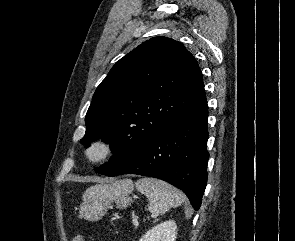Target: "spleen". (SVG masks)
<instances>
[{
    "label": "spleen",
    "instance_id": "1",
    "mask_svg": "<svg viewBox=\"0 0 295 241\" xmlns=\"http://www.w3.org/2000/svg\"><path fill=\"white\" fill-rule=\"evenodd\" d=\"M139 192L146 195L149 201L148 211L158 216L172 207L180 206L185 196L170 184L155 178H141L136 182Z\"/></svg>",
    "mask_w": 295,
    "mask_h": 241
}]
</instances>
